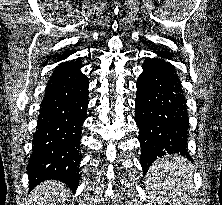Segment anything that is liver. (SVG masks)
I'll use <instances>...</instances> for the list:
<instances>
[{
    "label": "liver",
    "mask_w": 222,
    "mask_h": 205,
    "mask_svg": "<svg viewBox=\"0 0 222 205\" xmlns=\"http://www.w3.org/2000/svg\"><path fill=\"white\" fill-rule=\"evenodd\" d=\"M69 190L59 181H47L34 190V205H64L68 199Z\"/></svg>",
    "instance_id": "liver-1"
}]
</instances>
